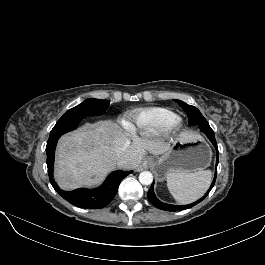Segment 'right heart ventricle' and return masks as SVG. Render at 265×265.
<instances>
[{"mask_svg":"<svg viewBox=\"0 0 265 265\" xmlns=\"http://www.w3.org/2000/svg\"><path fill=\"white\" fill-rule=\"evenodd\" d=\"M177 117L174 111L164 107L136 109L128 113V127L134 134L154 137L164 133Z\"/></svg>","mask_w":265,"mask_h":265,"instance_id":"1","label":"right heart ventricle"}]
</instances>
